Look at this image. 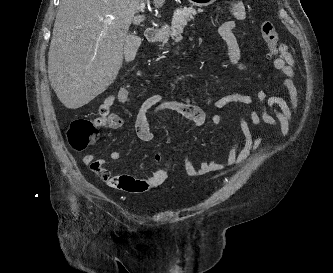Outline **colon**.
Here are the masks:
<instances>
[{"mask_svg":"<svg viewBox=\"0 0 333 273\" xmlns=\"http://www.w3.org/2000/svg\"><path fill=\"white\" fill-rule=\"evenodd\" d=\"M260 33L268 47L269 58L275 59L280 54V44L273 22L270 20H264L260 25ZM124 89L129 92L127 88ZM223 99L224 96L217 97L208 93L199 96V100L205 105H209L214 102H221ZM189 103L194 104L193 102ZM225 106H227V104L224 103L222 107ZM99 127H101L100 122L96 118L94 120L80 118L72 121L67 130V139L69 144L73 149L78 151L84 150L88 146L95 144L99 140L100 136L98 130ZM157 161L161 164V167L168 169V161L160 157L157 158ZM90 167L102 180L106 182H110L112 180L113 177L100 160L92 162Z\"/></svg>","mask_w":333,"mask_h":273,"instance_id":"obj_1","label":"colon"}]
</instances>
